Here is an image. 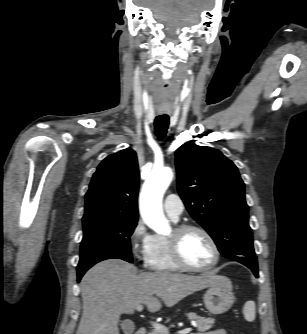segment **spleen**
I'll use <instances>...</instances> for the list:
<instances>
[{"label": "spleen", "instance_id": "1", "mask_svg": "<svg viewBox=\"0 0 307 334\" xmlns=\"http://www.w3.org/2000/svg\"><path fill=\"white\" fill-rule=\"evenodd\" d=\"M243 313L247 321H254L256 316L255 303L253 301H247L244 305Z\"/></svg>", "mask_w": 307, "mask_h": 334}]
</instances>
